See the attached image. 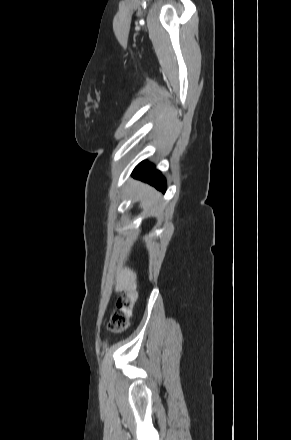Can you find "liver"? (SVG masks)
Instances as JSON below:
<instances>
[{
	"instance_id": "liver-1",
	"label": "liver",
	"mask_w": 291,
	"mask_h": 440,
	"mask_svg": "<svg viewBox=\"0 0 291 440\" xmlns=\"http://www.w3.org/2000/svg\"><path fill=\"white\" fill-rule=\"evenodd\" d=\"M138 194L141 197L140 207L143 209L151 208L156 198L154 196V190L148 186L140 183H136ZM136 278V274L129 268L119 267L116 273V290L122 291L133 285Z\"/></svg>"
}]
</instances>
